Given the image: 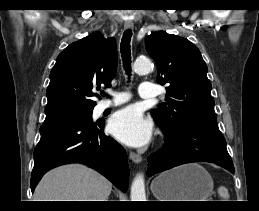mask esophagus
<instances>
[{
	"label": "esophagus",
	"mask_w": 259,
	"mask_h": 211,
	"mask_svg": "<svg viewBox=\"0 0 259 211\" xmlns=\"http://www.w3.org/2000/svg\"><path fill=\"white\" fill-rule=\"evenodd\" d=\"M124 27H125V29L128 30V29H133L134 25H133L132 22H126V23L124 24ZM130 159H131L134 163H136V164H138V163H140V162L142 161L141 155H139V154H137V153H135V152H130Z\"/></svg>",
	"instance_id": "1"
}]
</instances>
